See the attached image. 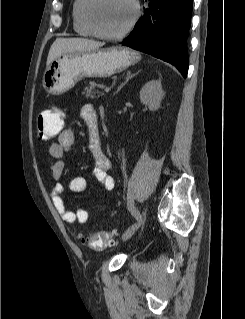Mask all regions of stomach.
I'll list each match as a JSON object with an SVG mask.
<instances>
[{
  "instance_id": "0dacf381",
  "label": "stomach",
  "mask_w": 245,
  "mask_h": 319,
  "mask_svg": "<svg viewBox=\"0 0 245 319\" xmlns=\"http://www.w3.org/2000/svg\"><path fill=\"white\" fill-rule=\"evenodd\" d=\"M140 60V55L123 47L65 53L46 68L43 87L52 95H61L83 77H106Z\"/></svg>"
}]
</instances>
